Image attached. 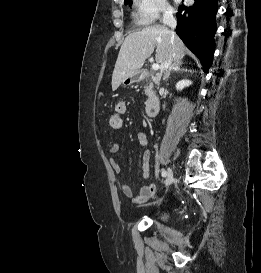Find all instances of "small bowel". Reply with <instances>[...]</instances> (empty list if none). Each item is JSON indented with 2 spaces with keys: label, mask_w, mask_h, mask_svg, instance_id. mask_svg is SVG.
<instances>
[{
  "label": "small bowel",
  "mask_w": 261,
  "mask_h": 273,
  "mask_svg": "<svg viewBox=\"0 0 261 273\" xmlns=\"http://www.w3.org/2000/svg\"><path fill=\"white\" fill-rule=\"evenodd\" d=\"M127 110L125 102H118L115 106V113L124 114ZM137 140L141 147H146L148 145V136L144 132H139L137 134ZM120 150V146L117 142H114L110 147V152L112 154H117ZM110 164L114 173L119 174L121 172V165L115 159L110 160ZM150 168V154L146 150L142 156V176L146 178L148 176ZM121 192L125 197L130 200L132 205L142 204L146 202L151 196L156 194V187L152 184H146L142 186L138 195H134L132 188L128 184H122L120 186Z\"/></svg>",
  "instance_id": "c3829d8e"
}]
</instances>
